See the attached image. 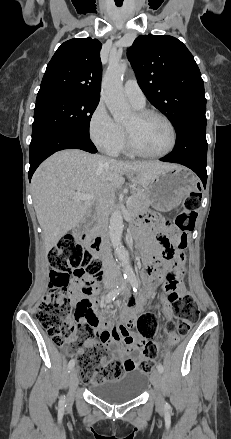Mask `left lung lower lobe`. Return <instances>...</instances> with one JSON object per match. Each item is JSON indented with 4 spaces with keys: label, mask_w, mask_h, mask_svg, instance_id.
<instances>
[{
    "label": "left lung lower lobe",
    "mask_w": 231,
    "mask_h": 439,
    "mask_svg": "<svg viewBox=\"0 0 231 439\" xmlns=\"http://www.w3.org/2000/svg\"><path fill=\"white\" fill-rule=\"evenodd\" d=\"M176 133V145L173 151L160 160L179 163L190 168L200 177L205 187L207 181L206 118L190 120L183 124Z\"/></svg>",
    "instance_id": "0a47b994"
}]
</instances>
